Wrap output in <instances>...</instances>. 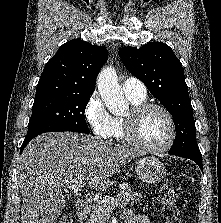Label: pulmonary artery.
Instances as JSON below:
<instances>
[{
	"instance_id": "1",
	"label": "pulmonary artery",
	"mask_w": 221,
	"mask_h": 223,
	"mask_svg": "<svg viewBox=\"0 0 221 223\" xmlns=\"http://www.w3.org/2000/svg\"><path fill=\"white\" fill-rule=\"evenodd\" d=\"M122 89L126 96L145 97L146 86L144 83L134 77H128L122 82Z\"/></svg>"
}]
</instances>
